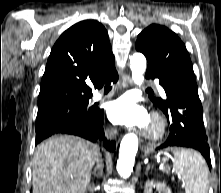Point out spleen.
Listing matches in <instances>:
<instances>
[{"label":"spleen","mask_w":221,"mask_h":193,"mask_svg":"<svg viewBox=\"0 0 221 193\" xmlns=\"http://www.w3.org/2000/svg\"><path fill=\"white\" fill-rule=\"evenodd\" d=\"M173 171L182 181L186 193H207L208 167L198 152L187 146H174Z\"/></svg>","instance_id":"spleen-1"}]
</instances>
